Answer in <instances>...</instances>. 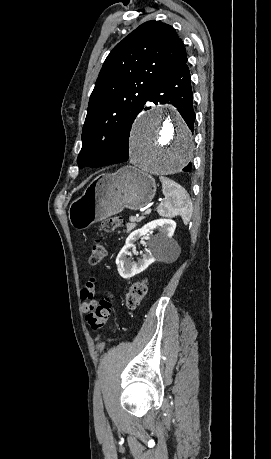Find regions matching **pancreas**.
I'll use <instances>...</instances> for the list:
<instances>
[{
  "instance_id": "1",
  "label": "pancreas",
  "mask_w": 271,
  "mask_h": 459,
  "mask_svg": "<svg viewBox=\"0 0 271 459\" xmlns=\"http://www.w3.org/2000/svg\"><path fill=\"white\" fill-rule=\"evenodd\" d=\"M141 220H144V216H140V218H136V216H130L129 222H131V224H126V231H131V229L135 228L136 226L135 222H141Z\"/></svg>"
}]
</instances>
